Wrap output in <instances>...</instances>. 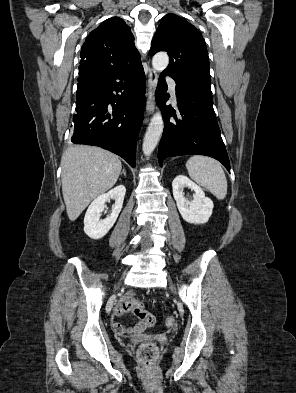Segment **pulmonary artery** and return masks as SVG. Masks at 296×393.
<instances>
[{
	"label": "pulmonary artery",
	"instance_id": "1",
	"mask_svg": "<svg viewBox=\"0 0 296 393\" xmlns=\"http://www.w3.org/2000/svg\"><path fill=\"white\" fill-rule=\"evenodd\" d=\"M167 83L169 85L170 93L174 100H176V82L172 78H167Z\"/></svg>",
	"mask_w": 296,
	"mask_h": 393
}]
</instances>
